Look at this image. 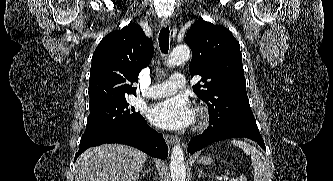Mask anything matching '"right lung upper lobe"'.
<instances>
[{
  "label": "right lung upper lobe",
  "mask_w": 333,
  "mask_h": 181,
  "mask_svg": "<svg viewBox=\"0 0 333 181\" xmlns=\"http://www.w3.org/2000/svg\"><path fill=\"white\" fill-rule=\"evenodd\" d=\"M153 57V43L139 25L129 24L106 35L92 56L89 108L136 95L133 82Z\"/></svg>",
  "instance_id": "1"
}]
</instances>
